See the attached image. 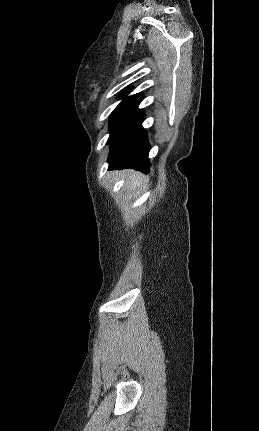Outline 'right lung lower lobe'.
Returning a JSON list of instances; mask_svg holds the SVG:
<instances>
[{"label": "right lung lower lobe", "mask_w": 259, "mask_h": 431, "mask_svg": "<svg viewBox=\"0 0 259 431\" xmlns=\"http://www.w3.org/2000/svg\"><path fill=\"white\" fill-rule=\"evenodd\" d=\"M144 111L136 106L110 135L108 169L132 168L144 173L149 171L150 146L142 127Z\"/></svg>", "instance_id": "1"}]
</instances>
